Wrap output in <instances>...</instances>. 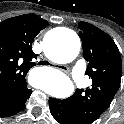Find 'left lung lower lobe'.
Listing matches in <instances>:
<instances>
[{
  "instance_id": "obj_1",
  "label": "left lung lower lobe",
  "mask_w": 124,
  "mask_h": 124,
  "mask_svg": "<svg viewBox=\"0 0 124 124\" xmlns=\"http://www.w3.org/2000/svg\"><path fill=\"white\" fill-rule=\"evenodd\" d=\"M50 112L60 124H81L77 120L70 97L67 99H49Z\"/></svg>"
}]
</instances>
